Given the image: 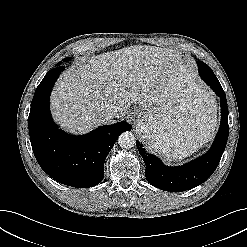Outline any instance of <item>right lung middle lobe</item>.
<instances>
[{
	"mask_svg": "<svg viewBox=\"0 0 247 247\" xmlns=\"http://www.w3.org/2000/svg\"><path fill=\"white\" fill-rule=\"evenodd\" d=\"M65 61L69 60V58L64 59Z\"/></svg>",
	"mask_w": 247,
	"mask_h": 247,
	"instance_id": "1",
	"label": "right lung middle lobe"
}]
</instances>
